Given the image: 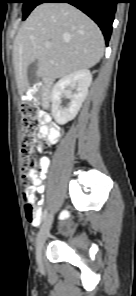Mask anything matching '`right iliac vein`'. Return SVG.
Masks as SVG:
<instances>
[{
    "label": "right iliac vein",
    "mask_w": 136,
    "mask_h": 296,
    "mask_svg": "<svg viewBox=\"0 0 136 296\" xmlns=\"http://www.w3.org/2000/svg\"><path fill=\"white\" fill-rule=\"evenodd\" d=\"M53 221V214L47 216V220L41 226L36 240V258L40 266L43 264V248Z\"/></svg>",
    "instance_id": "right-iliac-vein-1"
}]
</instances>
